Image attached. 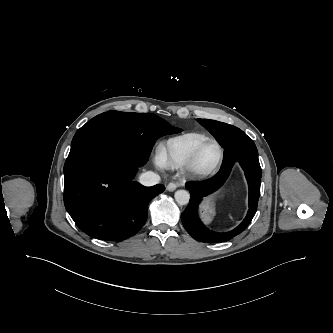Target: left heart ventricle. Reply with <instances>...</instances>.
Here are the masks:
<instances>
[{
  "label": "left heart ventricle",
  "instance_id": "obj_1",
  "mask_svg": "<svg viewBox=\"0 0 333 333\" xmlns=\"http://www.w3.org/2000/svg\"><path fill=\"white\" fill-rule=\"evenodd\" d=\"M218 154V149L214 144L206 146L200 155L199 166L201 168L210 167L218 158Z\"/></svg>",
  "mask_w": 333,
  "mask_h": 333
}]
</instances>
